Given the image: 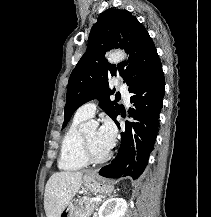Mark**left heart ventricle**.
<instances>
[{
	"label": "left heart ventricle",
	"instance_id": "obj_1",
	"mask_svg": "<svg viewBox=\"0 0 211 217\" xmlns=\"http://www.w3.org/2000/svg\"><path fill=\"white\" fill-rule=\"evenodd\" d=\"M85 135L89 142L90 148L95 155L101 156V155H104L106 152H108V149L102 146L100 142L98 141L97 129L95 128L89 129L85 131Z\"/></svg>",
	"mask_w": 211,
	"mask_h": 217
}]
</instances>
